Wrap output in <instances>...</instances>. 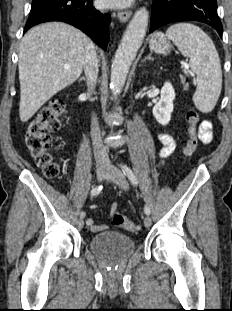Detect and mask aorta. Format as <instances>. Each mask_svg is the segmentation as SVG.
<instances>
[{
	"label": "aorta",
	"mask_w": 232,
	"mask_h": 311,
	"mask_svg": "<svg viewBox=\"0 0 232 311\" xmlns=\"http://www.w3.org/2000/svg\"><path fill=\"white\" fill-rule=\"evenodd\" d=\"M148 19L146 8L136 11L122 37L111 67L110 89L114 95H118L124 87L129 68L146 34Z\"/></svg>",
	"instance_id": "aorta-1"
}]
</instances>
